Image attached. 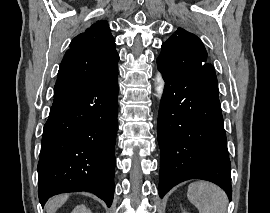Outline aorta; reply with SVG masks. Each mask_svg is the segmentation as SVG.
I'll return each mask as SVG.
<instances>
[{
    "label": "aorta",
    "mask_w": 270,
    "mask_h": 213,
    "mask_svg": "<svg viewBox=\"0 0 270 213\" xmlns=\"http://www.w3.org/2000/svg\"><path fill=\"white\" fill-rule=\"evenodd\" d=\"M156 92H157V96L160 98L163 94V90H164V81L162 78V75L160 73H158L156 75Z\"/></svg>",
    "instance_id": "1"
}]
</instances>
